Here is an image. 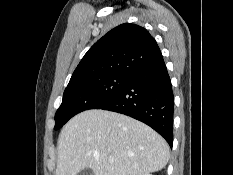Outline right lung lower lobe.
<instances>
[{
  "label": "right lung lower lobe",
  "mask_w": 233,
  "mask_h": 175,
  "mask_svg": "<svg viewBox=\"0 0 233 175\" xmlns=\"http://www.w3.org/2000/svg\"><path fill=\"white\" fill-rule=\"evenodd\" d=\"M96 109L135 118L157 131L170 147L173 145L174 100L163 58L131 76L113 98Z\"/></svg>",
  "instance_id": "1"
}]
</instances>
